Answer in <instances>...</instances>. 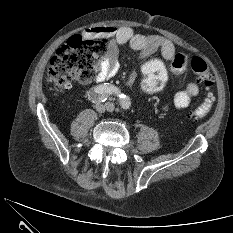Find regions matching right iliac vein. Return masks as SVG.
<instances>
[{
	"instance_id": "obj_1",
	"label": "right iliac vein",
	"mask_w": 233,
	"mask_h": 233,
	"mask_svg": "<svg viewBox=\"0 0 233 233\" xmlns=\"http://www.w3.org/2000/svg\"><path fill=\"white\" fill-rule=\"evenodd\" d=\"M105 110H107V104L98 103V104L96 105V111H97L99 114L104 113Z\"/></svg>"
}]
</instances>
